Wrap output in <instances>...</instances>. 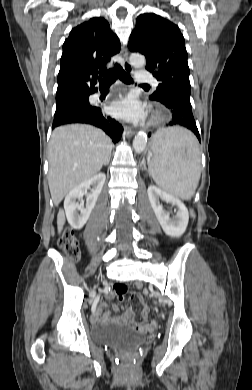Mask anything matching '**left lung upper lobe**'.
<instances>
[{
  "mask_svg": "<svg viewBox=\"0 0 252 390\" xmlns=\"http://www.w3.org/2000/svg\"><path fill=\"white\" fill-rule=\"evenodd\" d=\"M128 47L146 57V69L160 82L150 99L159 101L171 91L190 95L187 51L177 25L153 13L141 14Z\"/></svg>",
  "mask_w": 252,
  "mask_h": 390,
  "instance_id": "5c2ea615",
  "label": "left lung upper lobe"
}]
</instances>
